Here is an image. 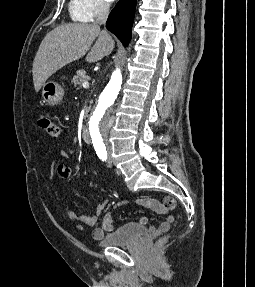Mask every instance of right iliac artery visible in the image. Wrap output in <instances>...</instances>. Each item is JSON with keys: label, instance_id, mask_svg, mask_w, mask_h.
Segmentation results:
<instances>
[{"label": "right iliac artery", "instance_id": "right-iliac-artery-1", "mask_svg": "<svg viewBox=\"0 0 255 287\" xmlns=\"http://www.w3.org/2000/svg\"><path fill=\"white\" fill-rule=\"evenodd\" d=\"M96 153L98 155V157L102 160V161H106L107 159V151L105 147H99L96 149Z\"/></svg>", "mask_w": 255, "mask_h": 287}]
</instances>
